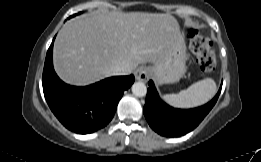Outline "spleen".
I'll list each match as a JSON object with an SVG mask.
<instances>
[{
	"instance_id": "1",
	"label": "spleen",
	"mask_w": 261,
	"mask_h": 162,
	"mask_svg": "<svg viewBox=\"0 0 261 162\" xmlns=\"http://www.w3.org/2000/svg\"><path fill=\"white\" fill-rule=\"evenodd\" d=\"M216 83L211 78L200 80L177 94H166L162 98L177 108H193L208 102L216 93Z\"/></svg>"
}]
</instances>
